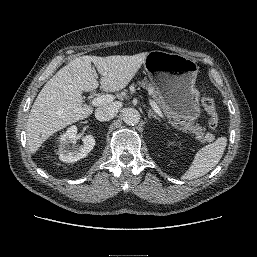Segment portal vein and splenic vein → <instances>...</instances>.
<instances>
[{
    "instance_id": "obj_1",
    "label": "portal vein and splenic vein",
    "mask_w": 257,
    "mask_h": 257,
    "mask_svg": "<svg viewBox=\"0 0 257 257\" xmlns=\"http://www.w3.org/2000/svg\"><path fill=\"white\" fill-rule=\"evenodd\" d=\"M114 96L110 95V94H106V95H102V96H98L95 97L91 104L93 106H102L105 103H109L111 101H113ZM149 103L152 107V109L160 116V117H164L162 111L160 110V108L158 107V105L155 103V101H153L152 99H149Z\"/></svg>"
}]
</instances>
